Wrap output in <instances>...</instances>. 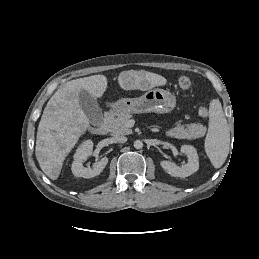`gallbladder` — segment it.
Wrapping results in <instances>:
<instances>
[{
  "instance_id": "obj_1",
  "label": "gallbladder",
  "mask_w": 259,
  "mask_h": 259,
  "mask_svg": "<svg viewBox=\"0 0 259 259\" xmlns=\"http://www.w3.org/2000/svg\"><path fill=\"white\" fill-rule=\"evenodd\" d=\"M79 104L91 124L98 126L102 122V109L96 98L84 89H81L79 93Z\"/></svg>"
}]
</instances>
